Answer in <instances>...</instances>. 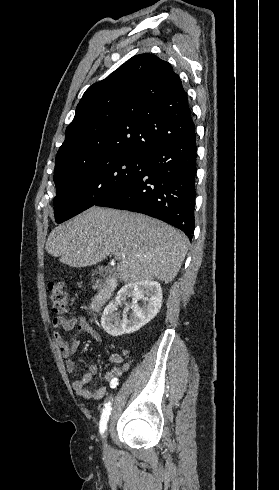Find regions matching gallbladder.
Instances as JSON below:
<instances>
[{
	"label": "gallbladder",
	"instance_id": "1",
	"mask_svg": "<svg viewBox=\"0 0 279 490\" xmlns=\"http://www.w3.org/2000/svg\"><path fill=\"white\" fill-rule=\"evenodd\" d=\"M93 274H98L99 278H108V276H111L112 272L110 268H97V270H94Z\"/></svg>",
	"mask_w": 279,
	"mask_h": 490
}]
</instances>
